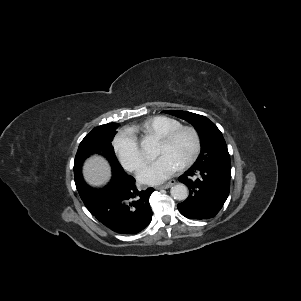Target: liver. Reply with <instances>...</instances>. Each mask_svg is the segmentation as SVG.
<instances>
[{"instance_id":"liver-1","label":"liver","mask_w":301,"mask_h":301,"mask_svg":"<svg viewBox=\"0 0 301 301\" xmlns=\"http://www.w3.org/2000/svg\"><path fill=\"white\" fill-rule=\"evenodd\" d=\"M83 175L89 184L101 186L110 178V166L104 158L95 155L84 164Z\"/></svg>"}]
</instances>
